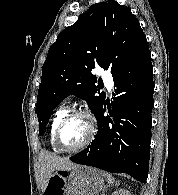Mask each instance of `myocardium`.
I'll list each match as a JSON object with an SVG mask.
<instances>
[{"instance_id":"f54148a6","label":"myocardium","mask_w":178,"mask_h":195,"mask_svg":"<svg viewBox=\"0 0 178 195\" xmlns=\"http://www.w3.org/2000/svg\"><path fill=\"white\" fill-rule=\"evenodd\" d=\"M77 117L84 118L86 120L87 126H88L87 137L80 145L73 147V148H67L61 144V141H60L61 132L64 126L70 120L77 118ZM94 134H95V123H94L92 115L88 111H85V110H74L66 114L58 123L55 129V133H54V143L63 152H68V153L78 152L86 148L91 143V141L94 138Z\"/></svg>"}]
</instances>
